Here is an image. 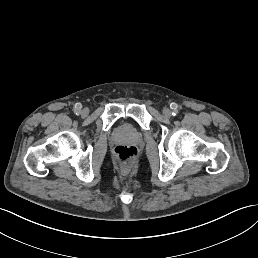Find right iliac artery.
I'll use <instances>...</instances> for the list:
<instances>
[{"label":"right iliac artery","instance_id":"obj_1","mask_svg":"<svg viewBox=\"0 0 258 258\" xmlns=\"http://www.w3.org/2000/svg\"><path fill=\"white\" fill-rule=\"evenodd\" d=\"M74 113H75L76 115H80V114H81V111H80V110H74Z\"/></svg>","mask_w":258,"mask_h":258}]
</instances>
